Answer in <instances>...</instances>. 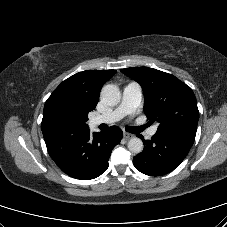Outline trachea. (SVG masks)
<instances>
[{
    "label": "trachea",
    "mask_w": 227,
    "mask_h": 227,
    "mask_svg": "<svg viewBox=\"0 0 227 227\" xmlns=\"http://www.w3.org/2000/svg\"><path fill=\"white\" fill-rule=\"evenodd\" d=\"M149 126V123L143 125V126H140V127H127L126 130L130 133H140L142 132L146 127Z\"/></svg>",
    "instance_id": "trachea-1"
}]
</instances>
